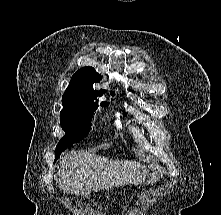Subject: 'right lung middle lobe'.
Listing matches in <instances>:
<instances>
[{
  "instance_id": "1",
  "label": "right lung middle lobe",
  "mask_w": 221,
  "mask_h": 215,
  "mask_svg": "<svg viewBox=\"0 0 221 215\" xmlns=\"http://www.w3.org/2000/svg\"><path fill=\"white\" fill-rule=\"evenodd\" d=\"M108 104V102H102L101 106L105 107ZM97 108V103H89L78 107L62 109L60 112V124L66 134L56 146L55 161L63 151L88 135L91 128V119Z\"/></svg>"
}]
</instances>
